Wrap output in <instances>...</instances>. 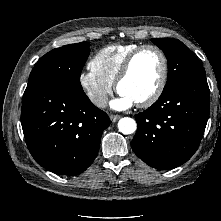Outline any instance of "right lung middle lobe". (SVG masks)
Here are the masks:
<instances>
[{
    "mask_svg": "<svg viewBox=\"0 0 221 221\" xmlns=\"http://www.w3.org/2000/svg\"><path fill=\"white\" fill-rule=\"evenodd\" d=\"M89 46V43L81 42L46 53L31 71L29 83L82 89L80 75L90 53Z\"/></svg>",
    "mask_w": 221,
    "mask_h": 221,
    "instance_id": "right-lung-middle-lobe-1",
    "label": "right lung middle lobe"
}]
</instances>
